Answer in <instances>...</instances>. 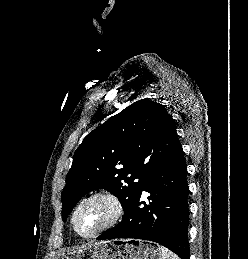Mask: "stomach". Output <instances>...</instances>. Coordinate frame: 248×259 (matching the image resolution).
I'll list each match as a JSON object with an SVG mask.
<instances>
[{
	"instance_id": "1",
	"label": "stomach",
	"mask_w": 248,
	"mask_h": 259,
	"mask_svg": "<svg viewBox=\"0 0 248 259\" xmlns=\"http://www.w3.org/2000/svg\"><path fill=\"white\" fill-rule=\"evenodd\" d=\"M63 259H162L159 245L137 239L99 242L80 248Z\"/></svg>"
}]
</instances>
